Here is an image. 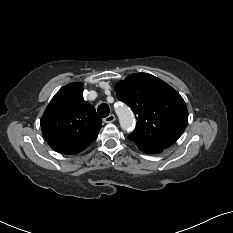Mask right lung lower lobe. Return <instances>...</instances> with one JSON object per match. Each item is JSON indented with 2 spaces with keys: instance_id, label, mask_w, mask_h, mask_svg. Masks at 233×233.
Here are the masks:
<instances>
[{
  "instance_id": "98d812e1",
  "label": "right lung lower lobe",
  "mask_w": 233,
  "mask_h": 233,
  "mask_svg": "<svg viewBox=\"0 0 233 233\" xmlns=\"http://www.w3.org/2000/svg\"><path fill=\"white\" fill-rule=\"evenodd\" d=\"M79 153V152H78ZM64 154H77V153H64Z\"/></svg>"
}]
</instances>
